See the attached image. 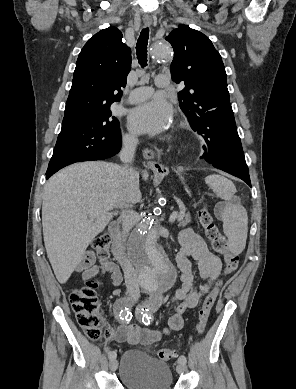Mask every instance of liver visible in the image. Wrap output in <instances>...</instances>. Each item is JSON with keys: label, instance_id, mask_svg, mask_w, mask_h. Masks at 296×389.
<instances>
[{"label": "liver", "instance_id": "6515ba94", "mask_svg": "<svg viewBox=\"0 0 296 389\" xmlns=\"http://www.w3.org/2000/svg\"><path fill=\"white\" fill-rule=\"evenodd\" d=\"M119 168L106 162L77 163L47 181L43 236L59 283L70 278L89 244L112 220V210L141 199L138 172L124 181Z\"/></svg>", "mask_w": 296, "mask_h": 389}]
</instances>
